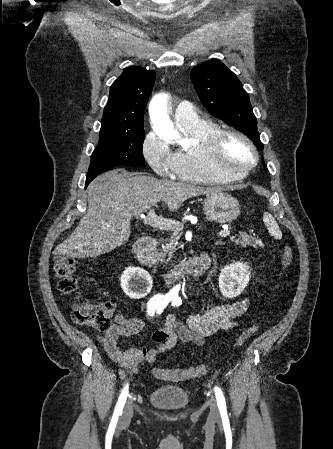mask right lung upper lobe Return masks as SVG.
I'll list each match as a JSON object with an SVG mask.
<instances>
[{"instance_id":"obj_1","label":"right lung upper lobe","mask_w":333,"mask_h":449,"mask_svg":"<svg viewBox=\"0 0 333 449\" xmlns=\"http://www.w3.org/2000/svg\"><path fill=\"white\" fill-rule=\"evenodd\" d=\"M153 70L131 66L112 84L100 133H138L155 81Z\"/></svg>"}]
</instances>
